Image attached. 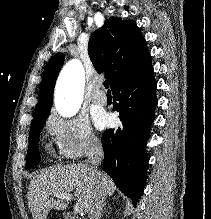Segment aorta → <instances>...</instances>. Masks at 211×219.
<instances>
[{
    "mask_svg": "<svg viewBox=\"0 0 211 219\" xmlns=\"http://www.w3.org/2000/svg\"><path fill=\"white\" fill-rule=\"evenodd\" d=\"M85 73L78 60L68 62L62 69L55 91V105L60 115L74 116L82 103Z\"/></svg>",
    "mask_w": 211,
    "mask_h": 219,
    "instance_id": "aorta-1",
    "label": "aorta"
}]
</instances>
